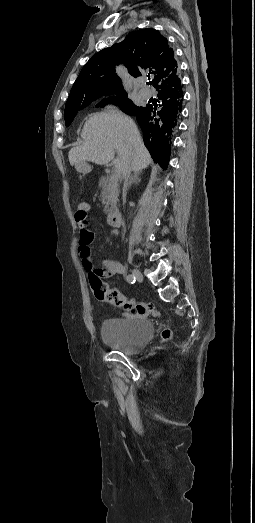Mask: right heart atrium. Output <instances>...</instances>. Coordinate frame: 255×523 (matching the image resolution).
<instances>
[{
	"instance_id": "right-heart-atrium-1",
	"label": "right heart atrium",
	"mask_w": 255,
	"mask_h": 523,
	"mask_svg": "<svg viewBox=\"0 0 255 523\" xmlns=\"http://www.w3.org/2000/svg\"><path fill=\"white\" fill-rule=\"evenodd\" d=\"M104 110L114 118H122L124 116V109L117 102L106 103L104 106Z\"/></svg>"
}]
</instances>
